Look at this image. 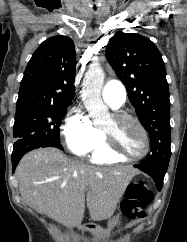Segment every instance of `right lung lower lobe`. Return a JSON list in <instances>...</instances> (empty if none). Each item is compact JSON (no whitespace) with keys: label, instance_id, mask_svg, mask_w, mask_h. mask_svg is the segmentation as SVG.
Segmentation results:
<instances>
[{"label":"right lung lower lobe","instance_id":"98d812e1","mask_svg":"<svg viewBox=\"0 0 187 242\" xmlns=\"http://www.w3.org/2000/svg\"><path fill=\"white\" fill-rule=\"evenodd\" d=\"M40 147H56L59 149H63L60 142L55 141H43L37 139L23 138L18 139L13 145V153H12V166L13 172L24 154L27 152L37 149Z\"/></svg>","mask_w":187,"mask_h":242}]
</instances>
